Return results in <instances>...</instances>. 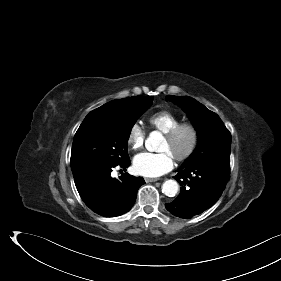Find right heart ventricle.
Returning <instances> with one entry per match:
<instances>
[{"label": "right heart ventricle", "mask_w": 281, "mask_h": 281, "mask_svg": "<svg viewBox=\"0 0 281 281\" xmlns=\"http://www.w3.org/2000/svg\"><path fill=\"white\" fill-rule=\"evenodd\" d=\"M148 122L153 129L165 134L180 123V118L170 111L161 110L152 114Z\"/></svg>", "instance_id": "obj_1"}]
</instances>
